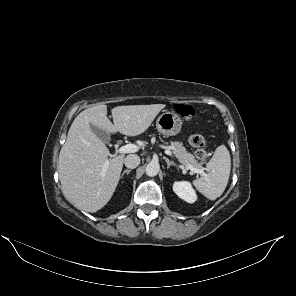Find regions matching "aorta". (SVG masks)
Here are the masks:
<instances>
[{"label": "aorta", "instance_id": "aorta-1", "mask_svg": "<svg viewBox=\"0 0 296 296\" xmlns=\"http://www.w3.org/2000/svg\"><path fill=\"white\" fill-rule=\"evenodd\" d=\"M160 170V165L158 162L151 161L146 166V174L150 177L156 176Z\"/></svg>", "mask_w": 296, "mask_h": 296}]
</instances>
